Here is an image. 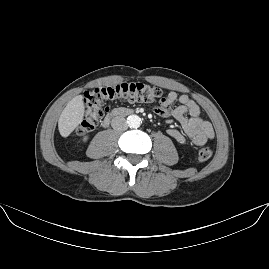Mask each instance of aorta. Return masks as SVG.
I'll return each instance as SVG.
<instances>
[{"instance_id":"aorta-1","label":"aorta","mask_w":269,"mask_h":269,"mask_svg":"<svg viewBox=\"0 0 269 269\" xmlns=\"http://www.w3.org/2000/svg\"><path fill=\"white\" fill-rule=\"evenodd\" d=\"M127 123L130 127L137 128L141 124V119L138 115H131L127 118Z\"/></svg>"}]
</instances>
